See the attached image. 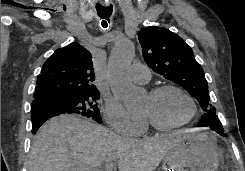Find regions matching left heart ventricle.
<instances>
[{
	"mask_svg": "<svg viewBox=\"0 0 245 171\" xmlns=\"http://www.w3.org/2000/svg\"><path fill=\"white\" fill-rule=\"evenodd\" d=\"M190 111L188 100L175 90L164 91L155 97L148 94L143 105V113L164 124L179 123L189 116Z\"/></svg>",
	"mask_w": 245,
	"mask_h": 171,
	"instance_id": "b2bd125f",
	"label": "left heart ventricle"
}]
</instances>
